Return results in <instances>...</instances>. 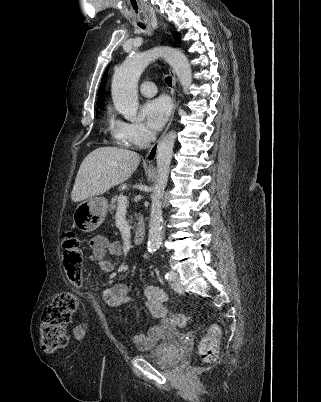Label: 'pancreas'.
<instances>
[{
    "mask_svg": "<svg viewBox=\"0 0 321 402\" xmlns=\"http://www.w3.org/2000/svg\"><path fill=\"white\" fill-rule=\"evenodd\" d=\"M123 196L122 193L115 195L112 199H111V204L109 205V212L110 214H113L114 211L117 208V204H118V200L119 198ZM129 222L132 223V217H130Z\"/></svg>",
    "mask_w": 321,
    "mask_h": 402,
    "instance_id": "obj_1",
    "label": "pancreas"
}]
</instances>
